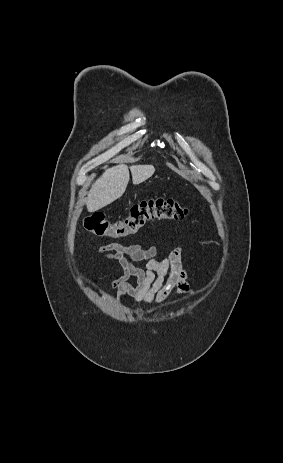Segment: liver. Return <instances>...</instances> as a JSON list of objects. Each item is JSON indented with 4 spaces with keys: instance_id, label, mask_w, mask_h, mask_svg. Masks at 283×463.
Listing matches in <instances>:
<instances>
[{
    "instance_id": "liver-1",
    "label": "liver",
    "mask_w": 283,
    "mask_h": 463,
    "mask_svg": "<svg viewBox=\"0 0 283 463\" xmlns=\"http://www.w3.org/2000/svg\"><path fill=\"white\" fill-rule=\"evenodd\" d=\"M129 169L134 185L140 184L150 178L155 168L152 165H127L121 164L106 170L103 175L92 185L87 196V210L95 212L118 198H120L129 182Z\"/></svg>"
}]
</instances>
